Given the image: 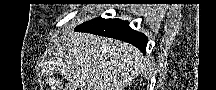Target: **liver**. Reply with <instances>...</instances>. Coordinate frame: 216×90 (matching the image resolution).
I'll return each mask as SVG.
<instances>
[{
    "mask_svg": "<svg viewBox=\"0 0 216 90\" xmlns=\"http://www.w3.org/2000/svg\"><path fill=\"white\" fill-rule=\"evenodd\" d=\"M60 60L68 90H124L144 62L131 44L83 32H67Z\"/></svg>",
    "mask_w": 216,
    "mask_h": 90,
    "instance_id": "liver-1",
    "label": "liver"
}]
</instances>
